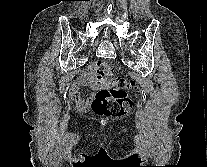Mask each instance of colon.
Listing matches in <instances>:
<instances>
[{
  "label": "colon",
  "instance_id": "obj_1",
  "mask_svg": "<svg viewBox=\"0 0 207 167\" xmlns=\"http://www.w3.org/2000/svg\"><path fill=\"white\" fill-rule=\"evenodd\" d=\"M93 79L101 87L92 102V109L96 114L123 116L130 110L131 100L127 90L135 86L133 82L114 75L106 62L94 65Z\"/></svg>",
  "mask_w": 207,
  "mask_h": 167
}]
</instances>
